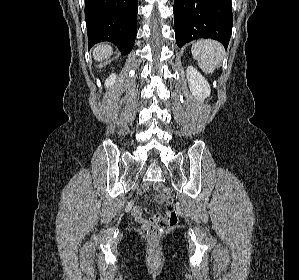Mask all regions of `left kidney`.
Masks as SVG:
<instances>
[{
  "mask_svg": "<svg viewBox=\"0 0 299 280\" xmlns=\"http://www.w3.org/2000/svg\"><path fill=\"white\" fill-rule=\"evenodd\" d=\"M186 72L192 95L199 101L209 97L211 89L205 78L192 66H189Z\"/></svg>",
  "mask_w": 299,
  "mask_h": 280,
  "instance_id": "1",
  "label": "left kidney"
}]
</instances>
